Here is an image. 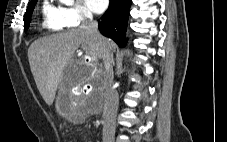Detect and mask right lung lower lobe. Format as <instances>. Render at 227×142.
Segmentation results:
<instances>
[{
  "instance_id": "98d812e1",
  "label": "right lung lower lobe",
  "mask_w": 227,
  "mask_h": 142,
  "mask_svg": "<svg viewBox=\"0 0 227 142\" xmlns=\"http://www.w3.org/2000/svg\"><path fill=\"white\" fill-rule=\"evenodd\" d=\"M131 3V0H110L109 8L98 25L100 32L113 39L120 47L126 42L125 32Z\"/></svg>"
}]
</instances>
